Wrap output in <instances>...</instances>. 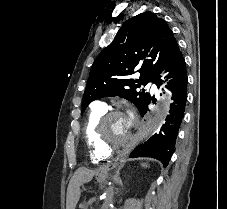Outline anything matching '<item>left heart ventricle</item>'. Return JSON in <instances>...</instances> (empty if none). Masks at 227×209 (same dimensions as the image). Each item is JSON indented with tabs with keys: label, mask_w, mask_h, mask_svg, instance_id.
Returning <instances> with one entry per match:
<instances>
[{
	"label": "left heart ventricle",
	"mask_w": 227,
	"mask_h": 209,
	"mask_svg": "<svg viewBox=\"0 0 227 209\" xmlns=\"http://www.w3.org/2000/svg\"><path fill=\"white\" fill-rule=\"evenodd\" d=\"M131 133L124 116H116L107 121L104 126L103 135L105 140L114 144L126 140Z\"/></svg>",
	"instance_id": "b2bd125f"
}]
</instances>
